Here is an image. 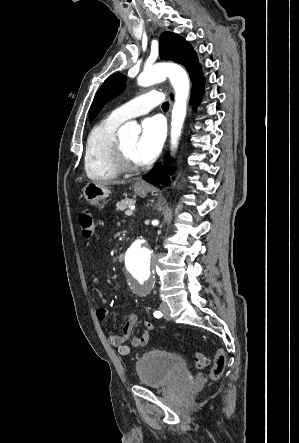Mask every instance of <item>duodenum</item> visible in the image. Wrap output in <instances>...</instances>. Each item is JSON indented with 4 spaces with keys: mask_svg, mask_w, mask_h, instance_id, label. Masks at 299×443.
<instances>
[{
    "mask_svg": "<svg viewBox=\"0 0 299 443\" xmlns=\"http://www.w3.org/2000/svg\"><path fill=\"white\" fill-rule=\"evenodd\" d=\"M123 257H124V254H120V255L118 256V260L123 259Z\"/></svg>",
    "mask_w": 299,
    "mask_h": 443,
    "instance_id": "duodenum-1",
    "label": "duodenum"
}]
</instances>
